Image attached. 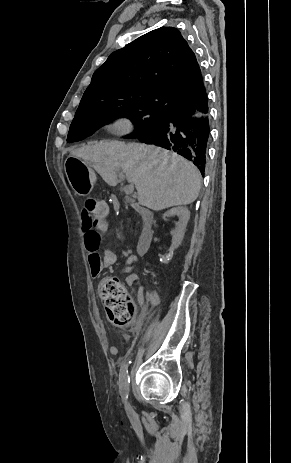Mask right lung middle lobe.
Returning a JSON list of instances; mask_svg holds the SVG:
<instances>
[{
	"instance_id": "dd1d6c3e",
	"label": "right lung middle lobe",
	"mask_w": 291,
	"mask_h": 463,
	"mask_svg": "<svg viewBox=\"0 0 291 463\" xmlns=\"http://www.w3.org/2000/svg\"><path fill=\"white\" fill-rule=\"evenodd\" d=\"M121 116L129 118L133 124H136L135 131L126 137L137 138L159 126L165 114L133 101L107 102L77 109L67 141L82 140L103 125Z\"/></svg>"
}]
</instances>
